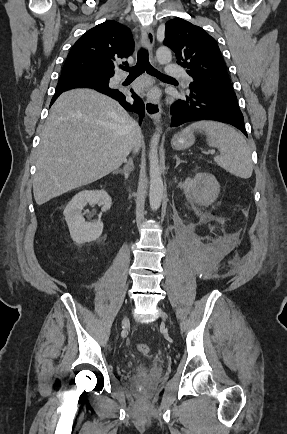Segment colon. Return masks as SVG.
<instances>
[{"mask_svg":"<svg viewBox=\"0 0 287 434\" xmlns=\"http://www.w3.org/2000/svg\"><path fill=\"white\" fill-rule=\"evenodd\" d=\"M136 347L137 350L143 355H148L150 352L149 346L145 343H138Z\"/></svg>","mask_w":287,"mask_h":434,"instance_id":"5ec220e1","label":"colon"}]
</instances>
